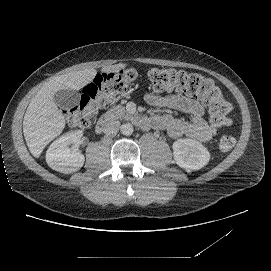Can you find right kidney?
Returning <instances> with one entry per match:
<instances>
[{"label": "right kidney", "mask_w": 271, "mask_h": 271, "mask_svg": "<svg viewBox=\"0 0 271 271\" xmlns=\"http://www.w3.org/2000/svg\"><path fill=\"white\" fill-rule=\"evenodd\" d=\"M83 130H70L55 139L46 151L47 164L54 170L70 173L80 169L84 156L76 145L82 141Z\"/></svg>", "instance_id": "right-kidney-1"}]
</instances>
